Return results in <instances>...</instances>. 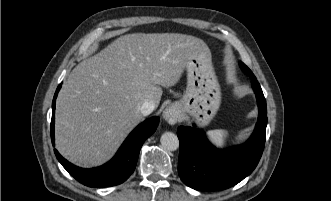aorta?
I'll use <instances>...</instances> for the list:
<instances>
[{
	"instance_id": "762f6f07",
	"label": "aorta",
	"mask_w": 331,
	"mask_h": 201,
	"mask_svg": "<svg viewBox=\"0 0 331 201\" xmlns=\"http://www.w3.org/2000/svg\"><path fill=\"white\" fill-rule=\"evenodd\" d=\"M161 145L165 150L175 151L179 148V139L172 132H165L160 139Z\"/></svg>"
}]
</instances>
